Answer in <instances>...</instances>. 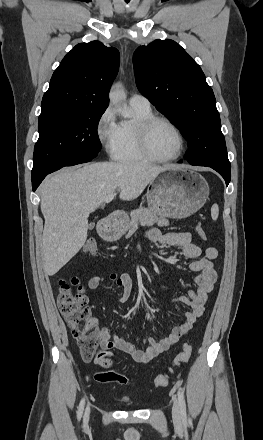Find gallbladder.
<instances>
[{
  "label": "gallbladder",
  "instance_id": "1",
  "mask_svg": "<svg viewBox=\"0 0 263 440\" xmlns=\"http://www.w3.org/2000/svg\"><path fill=\"white\" fill-rule=\"evenodd\" d=\"M94 228V224L93 223H90L89 224V229H93Z\"/></svg>",
  "mask_w": 263,
  "mask_h": 440
}]
</instances>
